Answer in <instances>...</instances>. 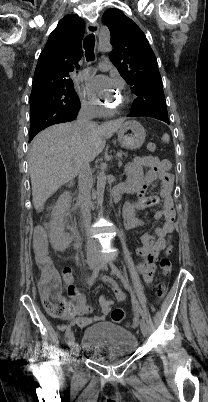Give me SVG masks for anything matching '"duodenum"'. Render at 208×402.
I'll use <instances>...</instances> for the list:
<instances>
[{
  "label": "duodenum",
  "instance_id": "1",
  "mask_svg": "<svg viewBox=\"0 0 208 402\" xmlns=\"http://www.w3.org/2000/svg\"><path fill=\"white\" fill-rule=\"evenodd\" d=\"M127 189L125 186L120 185L113 189L112 196L114 201H118L123 193H126Z\"/></svg>",
  "mask_w": 208,
  "mask_h": 402
}]
</instances>
